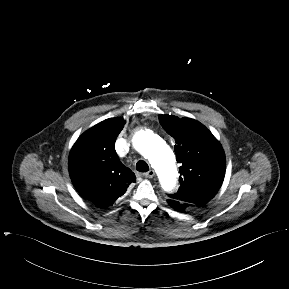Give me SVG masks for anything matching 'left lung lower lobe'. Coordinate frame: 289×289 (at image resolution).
Listing matches in <instances>:
<instances>
[{
	"instance_id": "1",
	"label": "left lung lower lobe",
	"mask_w": 289,
	"mask_h": 289,
	"mask_svg": "<svg viewBox=\"0 0 289 289\" xmlns=\"http://www.w3.org/2000/svg\"><path fill=\"white\" fill-rule=\"evenodd\" d=\"M167 202L169 203V205L175 209L176 211L179 212H184L185 210H190V209H194L196 207V205L190 204V203H185V202H181L179 200H175V199H168Z\"/></svg>"
}]
</instances>
